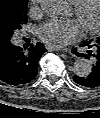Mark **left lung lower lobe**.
<instances>
[{
	"label": "left lung lower lobe",
	"mask_w": 100,
	"mask_h": 118,
	"mask_svg": "<svg viewBox=\"0 0 100 118\" xmlns=\"http://www.w3.org/2000/svg\"><path fill=\"white\" fill-rule=\"evenodd\" d=\"M80 46L89 49L87 54L78 53L76 49H73L72 52L77 56H85L86 58H90L93 62V68L88 76H74L73 80L77 84L85 87L94 88L100 86V37L95 40L91 39Z\"/></svg>",
	"instance_id": "0a47b994"
}]
</instances>
